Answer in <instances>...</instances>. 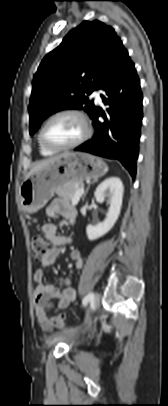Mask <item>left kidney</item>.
Returning a JSON list of instances; mask_svg holds the SVG:
<instances>
[{"label":"left kidney","mask_w":168,"mask_h":406,"mask_svg":"<svg viewBox=\"0 0 168 406\" xmlns=\"http://www.w3.org/2000/svg\"><path fill=\"white\" fill-rule=\"evenodd\" d=\"M123 192V184L118 177H109L98 185L94 192L95 199L98 203H103L107 199L109 209L104 221L95 225L89 224L86 227L89 240L92 241L102 237L114 226L120 215Z\"/></svg>","instance_id":"5707ae66"}]
</instances>
